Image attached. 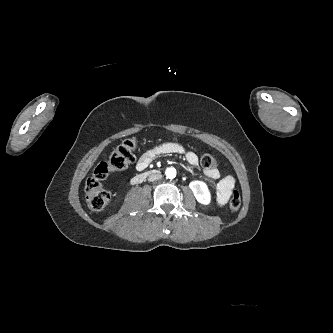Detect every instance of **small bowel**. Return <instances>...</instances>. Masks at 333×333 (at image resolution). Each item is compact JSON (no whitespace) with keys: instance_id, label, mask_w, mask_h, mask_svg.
Segmentation results:
<instances>
[{"instance_id":"c3829d8e","label":"small bowel","mask_w":333,"mask_h":333,"mask_svg":"<svg viewBox=\"0 0 333 333\" xmlns=\"http://www.w3.org/2000/svg\"><path fill=\"white\" fill-rule=\"evenodd\" d=\"M179 154L183 155L188 164L195 166L198 164V156L196 153L187 150L182 144L176 142H165L153 146L144 151L136 162V169L144 171L152 161L161 155ZM204 175L211 181H216L220 178V172L217 168L204 169ZM235 185V180L231 175L222 177L215 185L216 198L219 205L226 204Z\"/></svg>"}]
</instances>
